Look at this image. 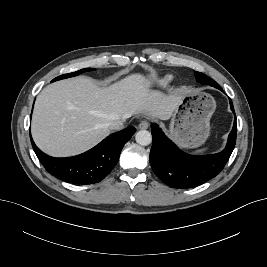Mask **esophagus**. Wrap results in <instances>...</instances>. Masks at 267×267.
Here are the masks:
<instances>
[{"instance_id":"obj_1","label":"esophagus","mask_w":267,"mask_h":267,"mask_svg":"<svg viewBox=\"0 0 267 267\" xmlns=\"http://www.w3.org/2000/svg\"><path fill=\"white\" fill-rule=\"evenodd\" d=\"M149 127V121L148 120H142L139 125H138V128L139 129H147Z\"/></svg>"}]
</instances>
